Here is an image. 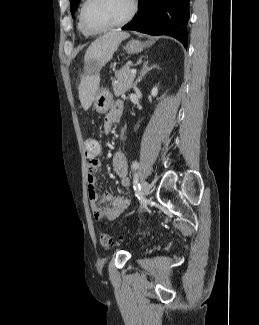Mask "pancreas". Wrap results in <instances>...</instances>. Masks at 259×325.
Returning <instances> with one entry per match:
<instances>
[{
    "mask_svg": "<svg viewBox=\"0 0 259 325\" xmlns=\"http://www.w3.org/2000/svg\"><path fill=\"white\" fill-rule=\"evenodd\" d=\"M130 66V64H126L115 73L116 79L112 80V87L115 96L124 94L132 87L135 74L131 73Z\"/></svg>",
    "mask_w": 259,
    "mask_h": 325,
    "instance_id": "pancreas-1",
    "label": "pancreas"
}]
</instances>
